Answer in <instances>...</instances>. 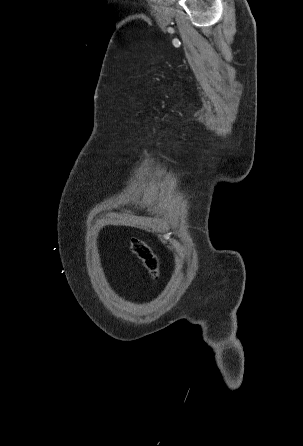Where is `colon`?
<instances>
[{"label":"colon","mask_w":303,"mask_h":446,"mask_svg":"<svg viewBox=\"0 0 303 446\" xmlns=\"http://www.w3.org/2000/svg\"><path fill=\"white\" fill-rule=\"evenodd\" d=\"M132 253L142 262L150 277L155 281L160 275V264L158 256L152 248L142 239L133 238L131 240Z\"/></svg>","instance_id":"colon-1"}]
</instances>
